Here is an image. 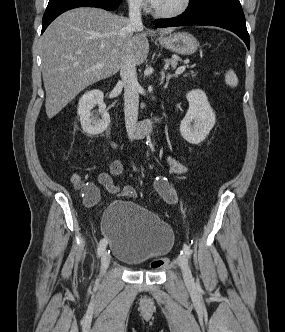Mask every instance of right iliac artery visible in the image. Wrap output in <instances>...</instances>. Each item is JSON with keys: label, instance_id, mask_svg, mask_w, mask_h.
<instances>
[{"label": "right iliac artery", "instance_id": "right-iliac-artery-1", "mask_svg": "<svg viewBox=\"0 0 285 332\" xmlns=\"http://www.w3.org/2000/svg\"><path fill=\"white\" fill-rule=\"evenodd\" d=\"M106 245H107V242L104 239L100 240L99 245H98V249H97V255L98 256L102 255L103 251L106 248Z\"/></svg>", "mask_w": 285, "mask_h": 332}]
</instances>
